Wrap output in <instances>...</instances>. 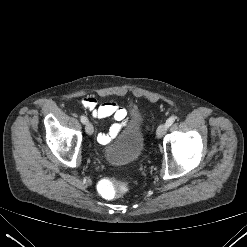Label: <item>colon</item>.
<instances>
[{"label":"colon","instance_id":"colon-1","mask_svg":"<svg viewBox=\"0 0 247 247\" xmlns=\"http://www.w3.org/2000/svg\"><path fill=\"white\" fill-rule=\"evenodd\" d=\"M100 193L107 199H113L129 189V184L122 178H108L101 181Z\"/></svg>","mask_w":247,"mask_h":247}]
</instances>
